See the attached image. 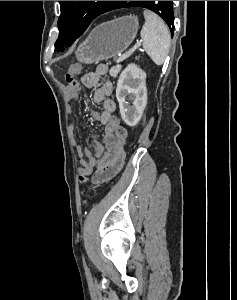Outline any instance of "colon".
I'll return each instance as SVG.
<instances>
[{
  "mask_svg": "<svg viewBox=\"0 0 237 300\" xmlns=\"http://www.w3.org/2000/svg\"><path fill=\"white\" fill-rule=\"evenodd\" d=\"M81 69H82V65L79 63L72 64L69 67L68 72L66 74V81L69 86L77 87L79 85V83L77 81V75L79 74ZM88 180H89V177L87 174H83V173L79 174V181L81 183H85Z\"/></svg>",
  "mask_w": 237,
  "mask_h": 300,
  "instance_id": "colon-1",
  "label": "colon"
}]
</instances>
